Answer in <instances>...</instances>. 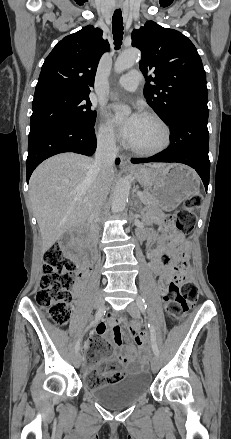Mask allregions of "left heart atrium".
<instances>
[{"mask_svg": "<svg viewBox=\"0 0 231 439\" xmlns=\"http://www.w3.org/2000/svg\"><path fill=\"white\" fill-rule=\"evenodd\" d=\"M119 109V105L111 107V121L118 126L123 139L131 145L143 122L144 116L140 112H134L128 117L123 118L118 113Z\"/></svg>", "mask_w": 231, "mask_h": 439, "instance_id": "39dd6f15", "label": "left heart atrium"}]
</instances>
